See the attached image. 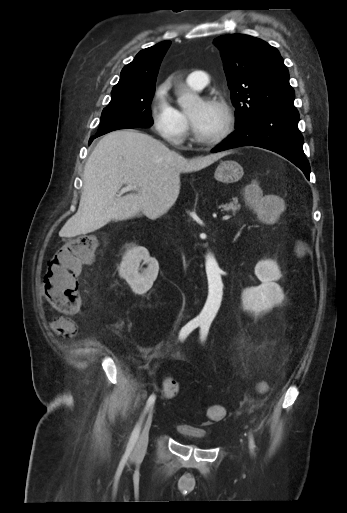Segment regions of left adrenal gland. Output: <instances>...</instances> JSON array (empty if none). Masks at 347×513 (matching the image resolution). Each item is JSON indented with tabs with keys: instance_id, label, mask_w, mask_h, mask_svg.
Segmentation results:
<instances>
[{
	"instance_id": "1",
	"label": "left adrenal gland",
	"mask_w": 347,
	"mask_h": 513,
	"mask_svg": "<svg viewBox=\"0 0 347 513\" xmlns=\"http://www.w3.org/2000/svg\"><path fill=\"white\" fill-rule=\"evenodd\" d=\"M240 235V232H238L234 238V240H236L238 238V236Z\"/></svg>"
}]
</instances>
